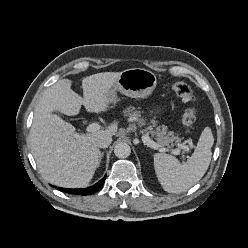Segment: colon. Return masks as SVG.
I'll use <instances>...</instances> for the list:
<instances>
[{
	"label": "colon",
	"instance_id": "5ec220e1",
	"mask_svg": "<svg viewBox=\"0 0 248 248\" xmlns=\"http://www.w3.org/2000/svg\"><path fill=\"white\" fill-rule=\"evenodd\" d=\"M172 90L188 105L183 112L182 123L185 128H191L196 121V109L191 105L195 100L193 91L185 82L173 83Z\"/></svg>",
	"mask_w": 248,
	"mask_h": 248
}]
</instances>
